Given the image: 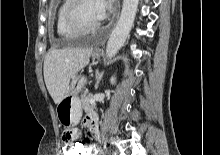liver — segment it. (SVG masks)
Here are the masks:
<instances>
[{
    "instance_id": "1",
    "label": "liver",
    "mask_w": 220,
    "mask_h": 155,
    "mask_svg": "<svg viewBox=\"0 0 220 155\" xmlns=\"http://www.w3.org/2000/svg\"><path fill=\"white\" fill-rule=\"evenodd\" d=\"M92 49L62 48L50 50L44 60V80L55 104L66 95L70 80L88 63Z\"/></svg>"
}]
</instances>
